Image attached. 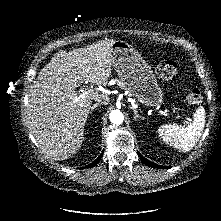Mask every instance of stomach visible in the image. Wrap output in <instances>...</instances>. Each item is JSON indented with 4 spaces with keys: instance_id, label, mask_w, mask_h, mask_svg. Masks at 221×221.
<instances>
[{
    "instance_id": "obj_1",
    "label": "stomach",
    "mask_w": 221,
    "mask_h": 221,
    "mask_svg": "<svg viewBox=\"0 0 221 221\" xmlns=\"http://www.w3.org/2000/svg\"><path fill=\"white\" fill-rule=\"evenodd\" d=\"M110 53L123 89L147 107L161 105L163 92L139 52L125 41L116 40L111 45Z\"/></svg>"
}]
</instances>
